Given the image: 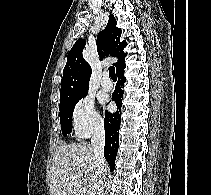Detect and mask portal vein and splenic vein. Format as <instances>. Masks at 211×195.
I'll list each match as a JSON object with an SVG mask.
<instances>
[{
	"mask_svg": "<svg viewBox=\"0 0 211 195\" xmlns=\"http://www.w3.org/2000/svg\"><path fill=\"white\" fill-rule=\"evenodd\" d=\"M80 193L81 195H86V191L83 188L80 189Z\"/></svg>",
	"mask_w": 211,
	"mask_h": 195,
	"instance_id": "portal-vein-and-splenic-vein-1",
	"label": "portal vein and splenic vein"
}]
</instances>
